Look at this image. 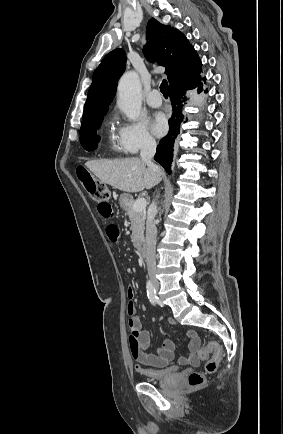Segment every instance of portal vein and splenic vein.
I'll use <instances>...</instances> for the list:
<instances>
[{"instance_id": "18ae733b", "label": "portal vein and splenic vein", "mask_w": 283, "mask_h": 434, "mask_svg": "<svg viewBox=\"0 0 283 434\" xmlns=\"http://www.w3.org/2000/svg\"><path fill=\"white\" fill-rule=\"evenodd\" d=\"M146 205H147L146 199L145 198H140V199H137L135 201V203L133 204V209L135 211L141 212V211L145 210Z\"/></svg>"}]
</instances>
